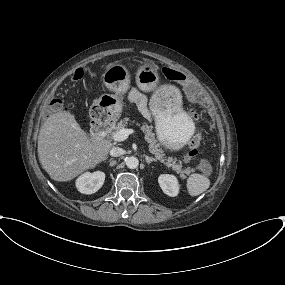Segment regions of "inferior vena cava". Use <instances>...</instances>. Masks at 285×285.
<instances>
[{
  "mask_svg": "<svg viewBox=\"0 0 285 285\" xmlns=\"http://www.w3.org/2000/svg\"><path fill=\"white\" fill-rule=\"evenodd\" d=\"M124 152H125V151H124L122 148H120V147H112V148L110 149V155H111L112 157L121 156V155L124 154Z\"/></svg>",
  "mask_w": 285,
  "mask_h": 285,
  "instance_id": "inferior-vena-cava-1",
  "label": "inferior vena cava"
}]
</instances>
